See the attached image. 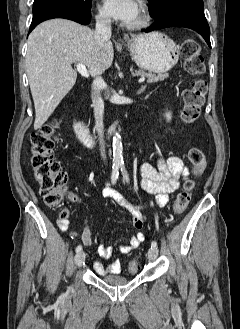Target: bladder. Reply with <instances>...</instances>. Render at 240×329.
Wrapping results in <instances>:
<instances>
[{
  "label": "bladder",
  "mask_w": 240,
  "mask_h": 329,
  "mask_svg": "<svg viewBox=\"0 0 240 329\" xmlns=\"http://www.w3.org/2000/svg\"><path fill=\"white\" fill-rule=\"evenodd\" d=\"M105 283L110 285H124L128 283L130 280L129 278L123 277V276H110L103 279Z\"/></svg>",
  "instance_id": "31cf9c89"
}]
</instances>
